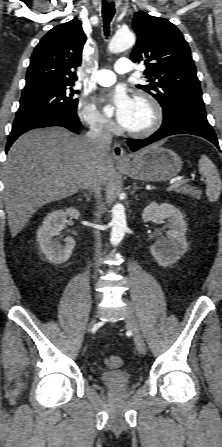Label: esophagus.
<instances>
[{
    "mask_svg": "<svg viewBox=\"0 0 222 447\" xmlns=\"http://www.w3.org/2000/svg\"><path fill=\"white\" fill-rule=\"evenodd\" d=\"M108 1H111V0H108ZM112 155H113L116 163H123L127 158V154H126L124 148L119 143L114 144L113 150H112Z\"/></svg>",
    "mask_w": 222,
    "mask_h": 447,
    "instance_id": "obj_1",
    "label": "esophagus"
}]
</instances>
